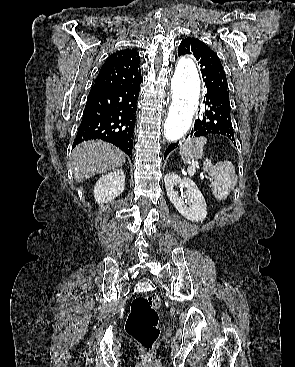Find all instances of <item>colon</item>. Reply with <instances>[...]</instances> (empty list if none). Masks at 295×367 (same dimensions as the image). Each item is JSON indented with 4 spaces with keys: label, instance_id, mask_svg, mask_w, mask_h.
Returning <instances> with one entry per match:
<instances>
[{
    "label": "colon",
    "instance_id": "1",
    "mask_svg": "<svg viewBox=\"0 0 295 367\" xmlns=\"http://www.w3.org/2000/svg\"><path fill=\"white\" fill-rule=\"evenodd\" d=\"M159 307L160 299L157 296H138L131 303L125 324L126 332L140 344L147 357L151 356L160 335Z\"/></svg>",
    "mask_w": 295,
    "mask_h": 367
}]
</instances>
